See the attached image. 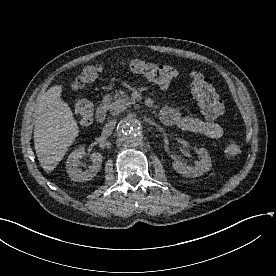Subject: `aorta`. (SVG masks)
<instances>
[{
	"label": "aorta",
	"instance_id": "obj_1",
	"mask_svg": "<svg viewBox=\"0 0 276 276\" xmlns=\"http://www.w3.org/2000/svg\"><path fill=\"white\" fill-rule=\"evenodd\" d=\"M117 133L125 145L136 146L142 140L141 123L135 117H128L120 123Z\"/></svg>",
	"mask_w": 276,
	"mask_h": 276
}]
</instances>
